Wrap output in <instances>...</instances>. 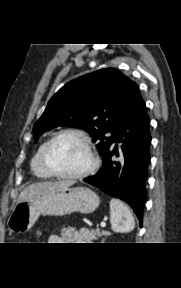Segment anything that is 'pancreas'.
<instances>
[{"label": "pancreas", "instance_id": "cf45deb5", "mask_svg": "<svg viewBox=\"0 0 181 288\" xmlns=\"http://www.w3.org/2000/svg\"><path fill=\"white\" fill-rule=\"evenodd\" d=\"M107 235L106 231L100 232L97 230H89L82 228L76 230L73 227L63 228L61 230V236L64 240L71 243H91L93 240H97L99 237Z\"/></svg>", "mask_w": 181, "mask_h": 288}]
</instances>
